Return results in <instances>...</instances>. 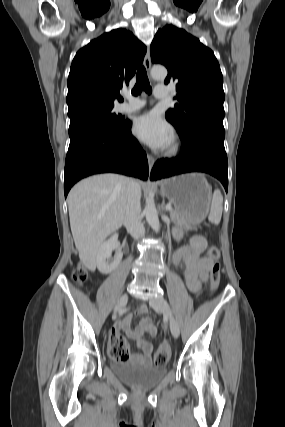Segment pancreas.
Listing matches in <instances>:
<instances>
[{
  "mask_svg": "<svg viewBox=\"0 0 285 427\" xmlns=\"http://www.w3.org/2000/svg\"><path fill=\"white\" fill-rule=\"evenodd\" d=\"M171 219L176 223L185 226L187 229H193L194 227L191 224H188L182 215V213L176 209L169 211Z\"/></svg>",
  "mask_w": 285,
  "mask_h": 427,
  "instance_id": "pancreas-1",
  "label": "pancreas"
}]
</instances>
